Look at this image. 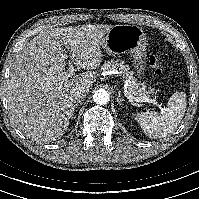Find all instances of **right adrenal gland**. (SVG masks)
I'll return each mask as SVG.
<instances>
[{"instance_id": "obj_1", "label": "right adrenal gland", "mask_w": 199, "mask_h": 199, "mask_svg": "<svg viewBox=\"0 0 199 199\" xmlns=\"http://www.w3.org/2000/svg\"><path fill=\"white\" fill-rule=\"evenodd\" d=\"M77 105H78V104L73 105L72 113H71V119L74 118V110H75V108L77 107Z\"/></svg>"}]
</instances>
